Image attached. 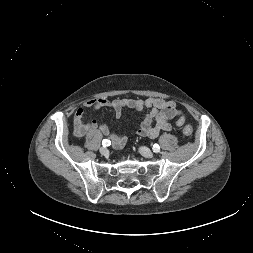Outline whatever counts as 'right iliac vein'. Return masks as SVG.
Here are the masks:
<instances>
[{"mask_svg": "<svg viewBox=\"0 0 253 253\" xmlns=\"http://www.w3.org/2000/svg\"><path fill=\"white\" fill-rule=\"evenodd\" d=\"M100 153L103 155V156H107L109 154V151L107 148H100Z\"/></svg>", "mask_w": 253, "mask_h": 253, "instance_id": "right-iliac-vein-1", "label": "right iliac vein"}]
</instances>
